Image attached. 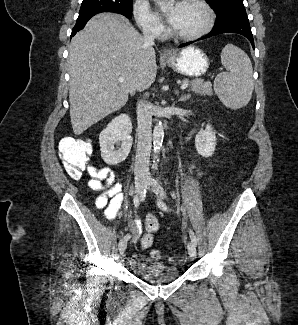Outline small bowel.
<instances>
[{"instance_id":"obj_1","label":"small bowel","mask_w":298,"mask_h":325,"mask_svg":"<svg viewBox=\"0 0 298 325\" xmlns=\"http://www.w3.org/2000/svg\"><path fill=\"white\" fill-rule=\"evenodd\" d=\"M87 186L91 191L101 192L95 199L97 209L104 212L107 220L118 219L121 216V206L124 201L122 184L116 180L113 170L109 167L92 168ZM131 229L137 237L141 235V223L135 219Z\"/></svg>"}]
</instances>
